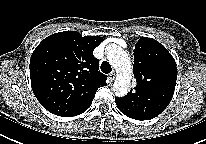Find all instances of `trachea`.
Returning a JSON list of instances; mask_svg holds the SVG:
<instances>
[{
	"instance_id": "obj_1",
	"label": "trachea",
	"mask_w": 206,
	"mask_h": 144,
	"mask_svg": "<svg viewBox=\"0 0 206 144\" xmlns=\"http://www.w3.org/2000/svg\"><path fill=\"white\" fill-rule=\"evenodd\" d=\"M101 71L108 74L112 71L111 65L107 61H103L101 64Z\"/></svg>"
}]
</instances>
